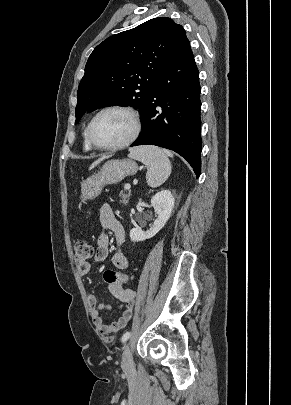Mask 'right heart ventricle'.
Instances as JSON below:
<instances>
[{
  "label": "right heart ventricle",
  "instance_id": "1",
  "mask_svg": "<svg viewBox=\"0 0 291 405\" xmlns=\"http://www.w3.org/2000/svg\"><path fill=\"white\" fill-rule=\"evenodd\" d=\"M83 148L85 151L89 152L92 151L93 148L89 145L88 140H87V136H86V129L83 132Z\"/></svg>",
  "mask_w": 291,
  "mask_h": 405
}]
</instances>
